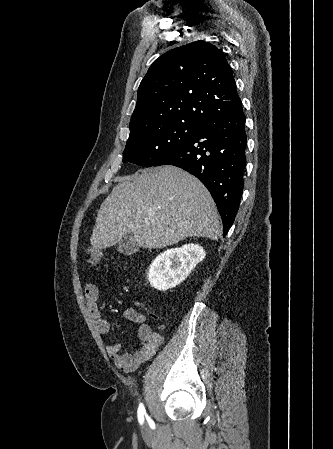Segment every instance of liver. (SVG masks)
<instances>
[{
    "label": "liver",
    "instance_id": "6515ba94",
    "mask_svg": "<svg viewBox=\"0 0 333 449\" xmlns=\"http://www.w3.org/2000/svg\"><path fill=\"white\" fill-rule=\"evenodd\" d=\"M130 233L138 247L153 249L187 237L217 240L221 227L207 188L167 165L119 178L98 210L90 242L95 250L105 249Z\"/></svg>",
    "mask_w": 333,
    "mask_h": 449
}]
</instances>
